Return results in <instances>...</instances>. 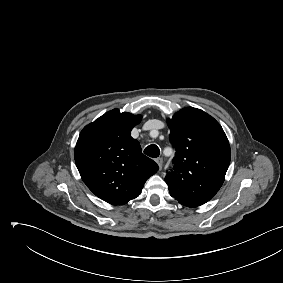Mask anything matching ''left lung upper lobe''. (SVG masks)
Listing matches in <instances>:
<instances>
[{
    "mask_svg": "<svg viewBox=\"0 0 283 283\" xmlns=\"http://www.w3.org/2000/svg\"><path fill=\"white\" fill-rule=\"evenodd\" d=\"M175 148L173 170L165 181L181 205L200 206L219 191L230 164L231 151L221 125L206 112L186 107L167 120Z\"/></svg>",
    "mask_w": 283,
    "mask_h": 283,
    "instance_id": "1",
    "label": "left lung upper lobe"
}]
</instances>
